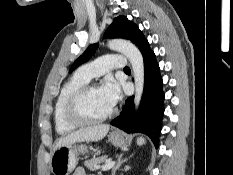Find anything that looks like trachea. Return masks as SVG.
<instances>
[{"label": "trachea", "mask_w": 233, "mask_h": 175, "mask_svg": "<svg viewBox=\"0 0 233 175\" xmlns=\"http://www.w3.org/2000/svg\"><path fill=\"white\" fill-rule=\"evenodd\" d=\"M124 70H130V68L129 67H125Z\"/></svg>", "instance_id": "3493384b"}]
</instances>
